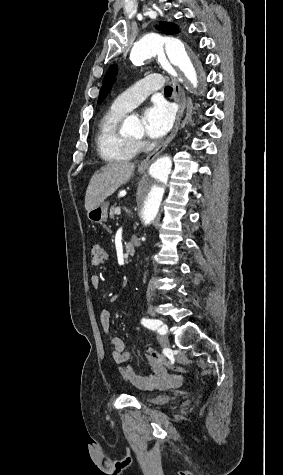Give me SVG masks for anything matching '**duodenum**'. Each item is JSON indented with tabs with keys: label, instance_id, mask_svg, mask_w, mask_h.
I'll list each match as a JSON object with an SVG mask.
<instances>
[{
	"label": "duodenum",
	"instance_id": "410a0bca",
	"mask_svg": "<svg viewBox=\"0 0 283 475\" xmlns=\"http://www.w3.org/2000/svg\"><path fill=\"white\" fill-rule=\"evenodd\" d=\"M125 251L128 256H132L135 252V242L128 241L125 245Z\"/></svg>",
	"mask_w": 283,
	"mask_h": 475
}]
</instances>
